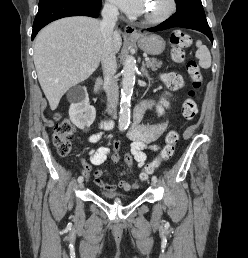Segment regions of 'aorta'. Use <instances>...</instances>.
<instances>
[{
	"instance_id": "1",
	"label": "aorta",
	"mask_w": 248,
	"mask_h": 258,
	"mask_svg": "<svg viewBox=\"0 0 248 258\" xmlns=\"http://www.w3.org/2000/svg\"><path fill=\"white\" fill-rule=\"evenodd\" d=\"M136 61L133 56H127L122 70V89L119 115V130L128 128L130 123V100L135 84Z\"/></svg>"
}]
</instances>
